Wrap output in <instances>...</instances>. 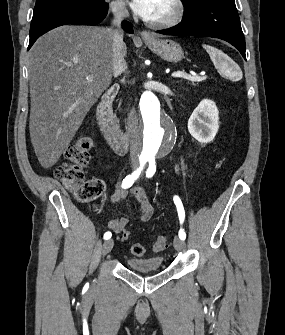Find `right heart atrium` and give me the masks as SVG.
<instances>
[{"instance_id": "d8ad5b80", "label": "right heart atrium", "mask_w": 285, "mask_h": 335, "mask_svg": "<svg viewBox=\"0 0 285 335\" xmlns=\"http://www.w3.org/2000/svg\"><path fill=\"white\" fill-rule=\"evenodd\" d=\"M109 9L112 15L119 20L126 19L129 15L128 8L122 1H110Z\"/></svg>"}]
</instances>
